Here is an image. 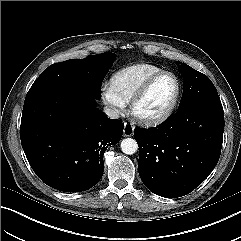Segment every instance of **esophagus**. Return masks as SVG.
Instances as JSON below:
<instances>
[{
    "mask_svg": "<svg viewBox=\"0 0 241 241\" xmlns=\"http://www.w3.org/2000/svg\"><path fill=\"white\" fill-rule=\"evenodd\" d=\"M134 127L127 123H124L123 134L125 137H130L133 135Z\"/></svg>",
    "mask_w": 241,
    "mask_h": 241,
    "instance_id": "34e87169",
    "label": "esophagus"
}]
</instances>
